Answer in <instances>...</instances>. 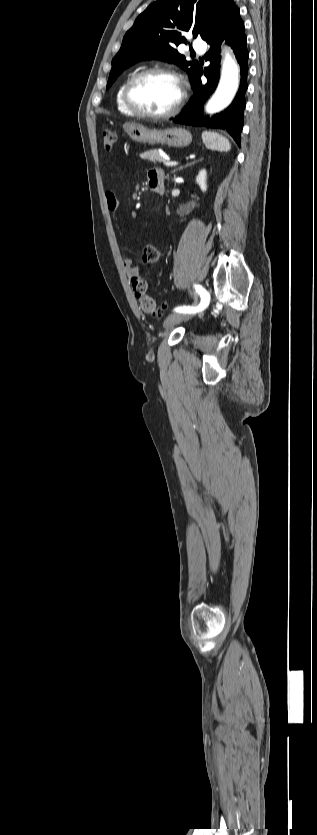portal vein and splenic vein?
I'll return each instance as SVG.
<instances>
[{"mask_svg": "<svg viewBox=\"0 0 317 835\" xmlns=\"http://www.w3.org/2000/svg\"><path fill=\"white\" fill-rule=\"evenodd\" d=\"M163 165H164L165 167H172V166H176V165H178V162H175V161H164V162H163Z\"/></svg>", "mask_w": 317, "mask_h": 835, "instance_id": "18ae733b", "label": "portal vein and splenic vein"}]
</instances>
